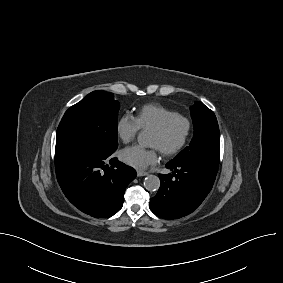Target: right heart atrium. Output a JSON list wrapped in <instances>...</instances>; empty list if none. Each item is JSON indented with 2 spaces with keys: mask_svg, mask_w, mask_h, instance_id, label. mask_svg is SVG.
Returning a JSON list of instances; mask_svg holds the SVG:
<instances>
[{
  "mask_svg": "<svg viewBox=\"0 0 283 283\" xmlns=\"http://www.w3.org/2000/svg\"><path fill=\"white\" fill-rule=\"evenodd\" d=\"M139 130L140 127L136 118L130 114H124L116 121L117 136L124 143L132 141Z\"/></svg>",
  "mask_w": 283,
  "mask_h": 283,
  "instance_id": "obj_1",
  "label": "right heart atrium"
}]
</instances>
